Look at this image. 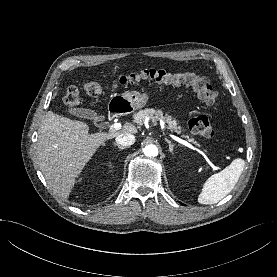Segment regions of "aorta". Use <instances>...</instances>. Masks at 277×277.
Here are the masks:
<instances>
[{
  "mask_svg": "<svg viewBox=\"0 0 277 277\" xmlns=\"http://www.w3.org/2000/svg\"><path fill=\"white\" fill-rule=\"evenodd\" d=\"M144 154L147 157H155L158 155V148L155 145H147L144 149Z\"/></svg>",
  "mask_w": 277,
  "mask_h": 277,
  "instance_id": "762f6f07",
  "label": "aorta"
}]
</instances>
